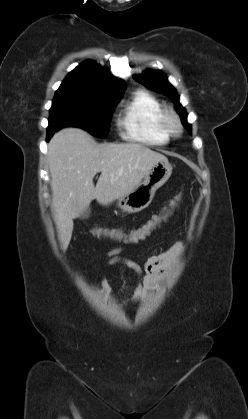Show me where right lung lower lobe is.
Segmentation results:
<instances>
[{
  "label": "right lung lower lobe",
  "instance_id": "right-lung-lower-lobe-1",
  "mask_svg": "<svg viewBox=\"0 0 248 419\" xmlns=\"http://www.w3.org/2000/svg\"><path fill=\"white\" fill-rule=\"evenodd\" d=\"M53 134L47 133V140H49L51 138Z\"/></svg>",
  "mask_w": 248,
  "mask_h": 419
}]
</instances>
